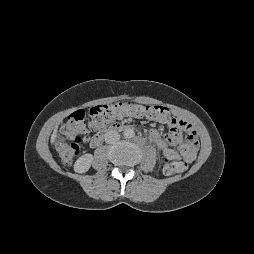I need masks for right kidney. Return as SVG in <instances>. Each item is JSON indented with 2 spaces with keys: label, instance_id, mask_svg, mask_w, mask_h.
<instances>
[{
  "label": "right kidney",
  "instance_id": "ca27d5eb",
  "mask_svg": "<svg viewBox=\"0 0 254 254\" xmlns=\"http://www.w3.org/2000/svg\"><path fill=\"white\" fill-rule=\"evenodd\" d=\"M93 161V156L92 154H85L82 155L81 157H79L75 164H74V170L77 173H85L87 172L90 167H91V163Z\"/></svg>",
  "mask_w": 254,
  "mask_h": 254
}]
</instances>
